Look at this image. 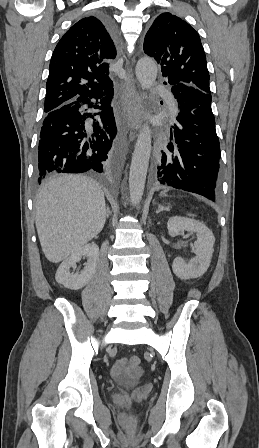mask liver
Returning a JSON list of instances; mask_svg holds the SVG:
<instances>
[{
  "label": "liver",
  "mask_w": 259,
  "mask_h": 448,
  "mask_svg": "<svg viewBox=\"0 0 259 448\" xmlns=\"http://www.w3.org/2000/svg\"><path fill=\"white\" fill-rule=\"evenodd\" d=\"M36 228L49 262H62L104 228L107 210L99 184L74 174L52 178L35 198Z\"/></svg>",
  "instance_id": "6515ba94"
}]
</instances>
